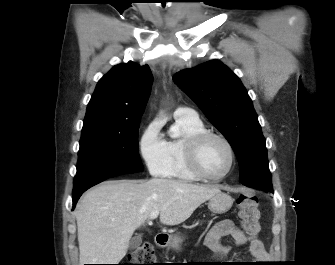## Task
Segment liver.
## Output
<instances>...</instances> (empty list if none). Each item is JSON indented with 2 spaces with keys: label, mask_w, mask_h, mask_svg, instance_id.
<instances>
[{
  "label": "liver",
  "mask_w": 335,
  "mask_h": 265,
  "mask_svg": "<svg viewBox=\"0 0 335 265\" xmlns=\"http://www.w3.org/2000/svg\"><path fill=\"white\" fill-rule=\"evenodd\" d=\"M219 192L216 186L161 178L103 182L76 207L79 265L118 264L134 231L153 211H160L162 224L178 225Z\"/></svg>",
  "instance_id": "6515ba94"
}]
</instances>
